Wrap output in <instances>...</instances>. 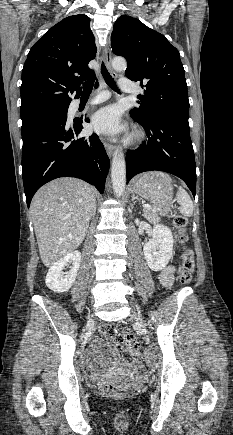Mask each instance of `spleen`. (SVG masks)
Returning <instances> with one entry per match:
<instances>
[{
    "label": "spleen",
    "instance_id": "1",
    "mask_svg": "<svg viewBox=\"0 0 233 435\" xmlns=\"http://www.w3.org/2000/svg\"><path fill=\"white\" fill-rule=\"evenodd\" d=\"M176 200L180 205V213L183 216L190 217L193 214V202L189 194L182 188H178Z\"/></svg>",
    "mask_w": 233,
    "mask_h": 435
}]
</instances>
